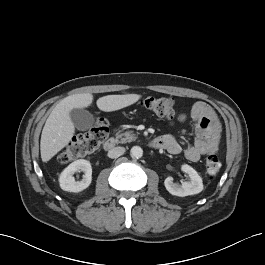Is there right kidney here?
<instances>
[{
  "instance_id": "ca27d5eb",
  "label": "right kidney",
  "mask_w": 265,
  "mask_h": 265,
  "mask_svg": "<svg viewBox=\"0 0 265 265\" xmlns=\"http://www.w3.org/2000/svg\"><path fill=\"white\" fill-rule=\"evenodd\" d=\"M77 171H83V179L75 181L73 174ZM92 181V167L89 161L79 159L69 164L60 174L59 183L64 191L78 193L86 189Z\"/></svg>"
}]
</instances>
